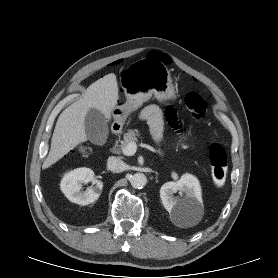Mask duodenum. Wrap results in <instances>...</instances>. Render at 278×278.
<instances>
[{
    "label": "duodenum",
    "mask_w": 278,
    "mask_h": 278,
    "mask_svg": "<svg viewBox=\"0 0 278 278\" xmlns=\"http://www.w3.org/2000/svg\"><path fill=\"white\" fill-rule=\"evenodd\" d=\"M120 130H121V127L119 125L115 124L112 128V136L118 135Z\"/></svg>",
    "instance_id": "1"
}]
</instances>
